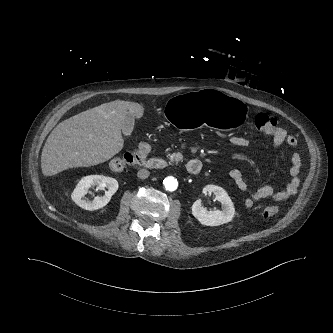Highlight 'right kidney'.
<instances>
[{
  "instance_id": "1",
  "label": "right kidney",
  "mask_w": 333,
  "mask_h": 333,
  "mask_svg": "<svg viewBox=\"0 0 333 333\" xmlns=\"http://www.w3.org/2000/svg\"><path fill=\"white\" fill-rule=\"evenodd\" d=\"M97 186L99 189L107 188L103 196H96L93 201H86L83 197L89 192V189ZM118 189L116 179L103 175H89L83 177L72 192V200L85 210H97L103 208L111 199L112 195Z\"/></svg>"
}]
</instances>
